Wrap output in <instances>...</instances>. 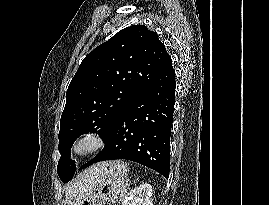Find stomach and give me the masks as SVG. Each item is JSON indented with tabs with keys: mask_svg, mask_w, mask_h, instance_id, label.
<instances>
[{
	"mask_svg": "<svg viewBox=\"0 0 269 205\" xmlns=\"http://www.w3.org/2000/svg\"><path fill=\"white\" fill-rule=\"evenodd\" d=\"M129 167L124 162H113L96 179L90 191L75 198L70 205H112L121 200Z\"/></svg>",
	"mask_w": 269,
	"mask_h": 205,
	"instance_id": "obj_1",
	"label": "stomach"
}]
</instances>
